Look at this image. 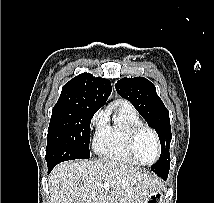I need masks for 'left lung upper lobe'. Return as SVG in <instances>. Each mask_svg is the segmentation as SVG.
Segmentation results:
<instances>
[{
  "mask_svg": "<svg viewBox=\"0 0 214 203\" xmlns=\"http://www.w3.org/2000/svg\"><path fill=\"white\" fill-rule=\"evenodd\" d=\"M116 91L129 100L148 125L156 130L161 143V155L151 170L162 178L168 174L170 167L172 134L169 111L157 95L154 84L144 77L122 78L116 83Z\"/></svg>",
  "mask_w": 214,
  "mask_h": 203,
  "instance_id": "left-lung-upper-lobe-1",
  "label": "left lung upper lobe"
}]
</instances>
